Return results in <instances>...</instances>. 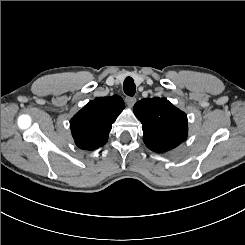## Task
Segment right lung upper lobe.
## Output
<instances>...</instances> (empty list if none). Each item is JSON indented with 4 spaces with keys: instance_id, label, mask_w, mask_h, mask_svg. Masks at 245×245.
<instances>
[{
    "instance_id": "cb5924a9",
    "label": "right lung upper lobe",
    "mask_w": 245,
    "mask_h": 245,
    "mask_svg": "<svg viewBox=\"0 0 245 245\" xmlns=\"http://www.w3.org/2000/svg\"><path fill=\"white\" fill-rule=\"evenodd\" d=\"M124 108V101L118 95L90 101L70 121L76 145L84 150L103 146L108 140L112 124Z\"/></svg>"
}]
</instances>
